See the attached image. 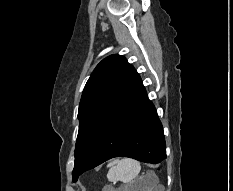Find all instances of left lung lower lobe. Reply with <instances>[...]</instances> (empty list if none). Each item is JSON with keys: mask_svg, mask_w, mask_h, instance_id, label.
I'll list each match as a JSON object with an SVG mask.
<instances>
[{"mask_svg": "<svg viewBox=\"0 0 233 191\" xmlns=\"http://www.w3.org/2000/svg\"><path fill=\"white\" fill-rule=\"evenodd\" d=\"M118 156L153 164L166 158L163 127L141 80L107 125L82 168L73 175V181Z\"/></svg>", "mask_w": 233, "mask_h": 191, "instance_id": "left-lung-lower-lobe-1", "label": "left lung lower lobe"}]
</instances>
